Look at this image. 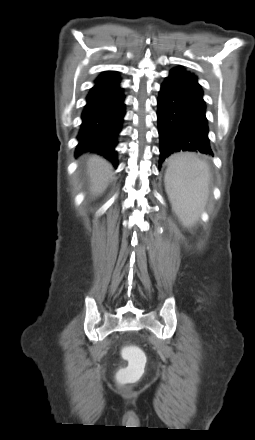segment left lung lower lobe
I'll list each match as a JSON object with an SVG mask.
<instances>
[{"mask_svg":"<svg viewBox=\"0 0 255 440\" xmlns=\"http://www.w3.org/2000/svg\"><path fill=\"white\" fill-rule=\"evenodd\" d=\"M157 101L160 165L179 151H196L213 156L208 138L206 105L197 79L181 69H172L161 85Z\"/></svg>","mask_w":255,"mask_h":440,"instance_id":"obj_1","label":"left lung lower lobe"}]
</instances>
